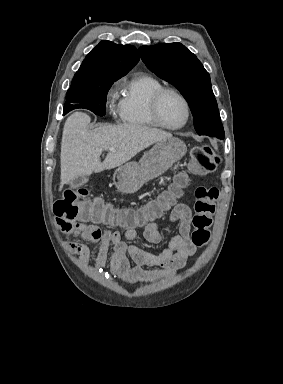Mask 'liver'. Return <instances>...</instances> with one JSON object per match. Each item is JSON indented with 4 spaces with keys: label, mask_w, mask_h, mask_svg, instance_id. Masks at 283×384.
I'll return each instance as SVG.
<instances>
[{
    "label": "liver",
    "mask_w": 283,
    "mask_h": 384,
    "mask_svg": "<svg viewBox=\"0 0 283 384\" xmlns=\"http://www.w3.org/2000/svg\"><path fill=\"white\" fill-rule=\"evenodd\" d=\"M90 122V116L84 112H74L64 124L59 192L64 184H69L75 178L122 166L141 150L165 138H172L169 132L141 124L103 126L88 132L86 128ZM109 148H115L116 152H109L104 162H100L103 150Z\"/></svg>",
    "instance_id": "liver-1"
}]
</instances>
